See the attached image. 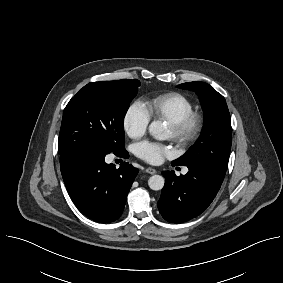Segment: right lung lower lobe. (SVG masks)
<instances>
[{
	"mask_svg": "<svg viewBox=\"0 0 283 283\" xmlns=\"http://www.w3.org/2000/svg\"><path fill=\"white\" fill-rule=\"evenodd\" d=\"M104 151L83 150L61 164V173L67 191L78 207L90 219L109 223L117 220L124 209L128 192L138 170L127 162L117 169L105 163ZM127 159L123 148L114 153Z\"/></svg>",
	"mask_w": 283,
	"mask_h": 283,
	"instance_id": "right-lung-lower-lobe-1",
	"label": "right lung lower lobe"
}]
</instances>
